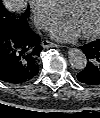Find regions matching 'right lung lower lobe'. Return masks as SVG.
<instances>
[{"mask_svg":"<svg viewBox=\"0 0 100 118\" xmlns=\"http://www.w3.org/2000/svg\"><path fill=\"white\" fill-rule=\"evenodd\" d=\"M26 20L10 17L0 24V79L12 84L30 81L39 71L43 50Z\"/></svg>","mask_w":100,"mask_h":118,"instance_id":"obj_1","label":"right lung lower lobe"}]
</instances>
